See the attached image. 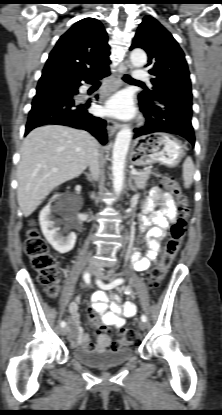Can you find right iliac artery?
Returning <instances> with one entry per match:
<instances>
[{"instance_id": "right-iliac-artery-1", "label": "right iliac artery", "mask_w": 222, "mask_h": 415, "mask_svg": "<svg viewBox=\"0 0 222 415\" xmlns=\"http://www.w3.org/2000/svg\"><path fill=\"white\" fill-rule=\"evenodd\" d=\"M83 279H84V281H85L87 284H89V283H90V274L86 272V273L83 275ZM60 325H61V327H65V326H66V322H65V321H62V322L60 323Z\"/></svg>"}]
</instances>
